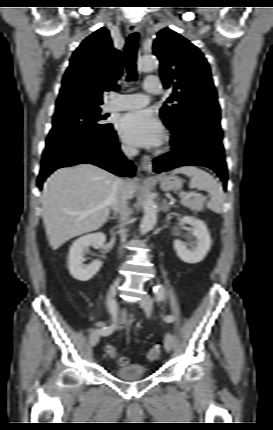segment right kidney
Wrapping results in <instances>:
<instances>
[{
    "instance_id": "obj_1",
    "label": "right kidney",
    "mask_w": 273,
    "mask_h": 430,
    "mask_svg": "<svg viewBox=\"0 0 273 430\" xmlns=\"http://www.w3.org/2000/svg\"><path fill=\"white\" fill-rule=\"evenodd\" d=\"M105 239L106 237L102 232H97L82 236L74 241L68 255V269L74 279L88 281L97 274L102 262L93 261L89 265H85L83 264V256L88 251L89 246L101 247Z\"/></svg>"
}]
</instances>
